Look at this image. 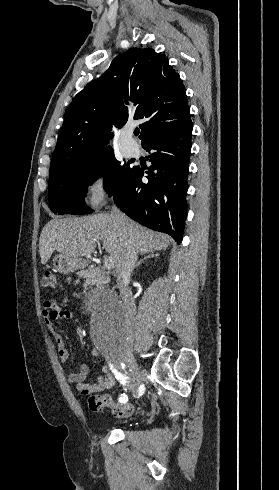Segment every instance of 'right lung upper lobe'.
Segmentation results:
<instances>
[{
    "instance_id": "cb5924a9",
    "label": "right lung upper lobe",
    "mask_w": 279,
    "mask_h": 490,
    "mask_svg": "<svg viewBox=\"0 0 279 490\" xmlns=\"http://www.w3.org/2000/svg\"><path fill=\"white\" fill-rule=\"evenodd\" d=\"M186 92L168 59L151 48H131L80 91L66 110L53 153L49 178L94 160L104 151L112 125H140L142 144L174 132L190 119Z\"/></svg>"
}]
</instances>
